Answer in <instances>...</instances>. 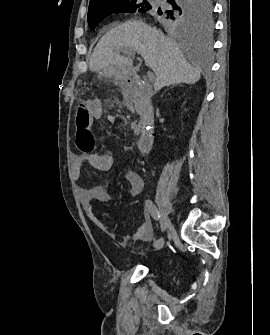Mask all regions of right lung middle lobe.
Returning a JSON list of instances; mask_svg holds the SVG:
<instances>
[{
    "instance_id": "dd1d6c3e",
    "label": "right lung middle lobe",
    "mask_w": 270,
    "mask_h": 335,
    "mask_svg": "<svg viewBox=\"0 0 270 335\" xmlns=\"http://www.w3.org/2000/svg\"><path fill=\"white\" fill-rule=\"evenodd\" d=\"M168 4L157 9L148 0H115L113 2L89 8L88 23L92 30L112 13L141 12L151 15L162 25L171 29H187L200 25H210L211 0H167ZM162 15L161 18L157 16Z\"/></svg>"
}]
</instances>
